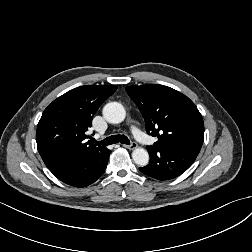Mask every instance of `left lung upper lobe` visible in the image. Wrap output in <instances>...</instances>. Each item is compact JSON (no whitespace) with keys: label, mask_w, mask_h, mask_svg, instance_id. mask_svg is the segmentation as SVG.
<instances>
[{"label":"left lung upper lobe","mask_w":252,"mask_h":252,"mask_svg":"<svg viewBox=\"0 0 252 252\" xmlns=\"http://www.w3.org/2000/svg\"><path fill=\"white\" fill-rule=\"evenodd\" d=\"M126 91L141 111L155 149L186 150L199 154L204 140L202 115L182 93L159 84L128 86Z\"/></svg>","instance_id":"1"}]
</instances>
